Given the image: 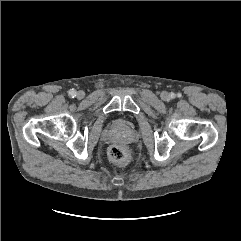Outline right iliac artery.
I'll use <instances>...</instances> for the list:
<instances>
[{
    "instance_id": "1",
    "label": "right iliac artery",
    "mask_w": 241,
    "mask_h": 241,
    "mask_svg": "<svg viewBox=\"0 0 241 241\" xmlns=\"http://www.w3.org/2000/svg\"><path fill=\"white\" fill-rule=\"evenodd\" d=\"M76 95H77V93H76V91H75L74 89H71V90L69 91V96H70V97L74 98V97H76Z\"/></svg>"
}]
</instances>
